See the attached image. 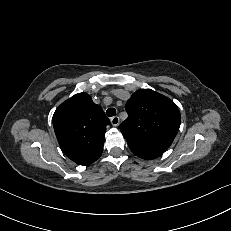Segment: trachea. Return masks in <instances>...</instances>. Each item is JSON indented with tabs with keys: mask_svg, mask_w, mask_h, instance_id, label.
Returning a JSON list of instances; mask_svg holds the SVG:
<instances>
[{
	"mask_svg": "<svg viewBox=\"0 0 231 231\" xmlns=\"http://www.w3.org/2000/svg\"><path fill=\"white\" fill-rule=\"evenodd\" d=\"M115 113H116V110H115L114 108H109V109H107V111H106V114H107L108 117L114 116Z\"/></svg>",
	"mask_w": 231,
	"mask_h": 231,
	"instance_id": "3493384b",
	"label": "trachea"
}]
</instances>
